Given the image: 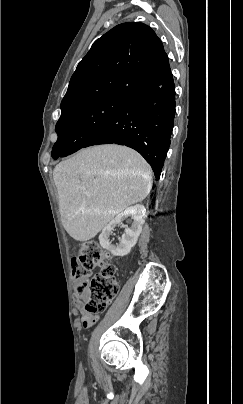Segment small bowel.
<instances>
[{"mask_svg":"<svg viewBox=\"0 0 243 404\" xmlns=\"http://www.w3.org/2000/svg\"><path fill=\"white\" fill-rule=\"evenodd\" d=\"M96 321H97V316L90 315V314L83 311V317L81 319V325L84 328L91 327Z\"/></svg>","mask_w":243,"mask_h":404,"instance_id":"c3829d8e","label":"small bowel"}]
</instances>
